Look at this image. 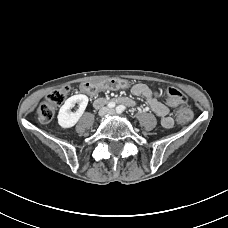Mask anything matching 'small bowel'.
Segmentation results:
<instances>
[{
	"label": "small bowel",
	"instance_id": "obj_1",
	"mask_svg": "<svg viewBox=\"0 0 228 228\" xmlns=\"http://www.w3.org/2000/svg\"><path fill=\"white\" fill-rule=\"evenodd\" d=\"M128 87V84L122 80H105L99 84H84L81 89L85 93H94L97 90L108 89H123ZM131 92L135 96H141L146 99L148 105L160 119L162 127L169 129L174 125L173 118L169 115V106L158 99V94L149 86L138 83L131 87Z\"/></svg>",
	"mask_w": 228,
	"mask_h": 228
}]
</instances>
